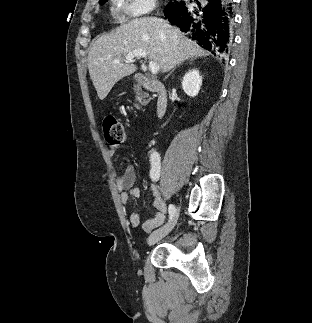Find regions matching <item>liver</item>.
<instances>
[{
  "mask_svg": "<svg viewBox=\"0 0 312 323\" xmlns=\"http://www.w3.org/2000/svg\"><path fill=\"white\" fill-rule=\"evenodd\" d=\"M134 50H144L160 72H170L177 64L198 56H209L207 50L185 38L179 28L161 18H137L122 24L112 34L100 36L88 54V70L99 100H104L114 84L134 74L133 62L125 56ZM114 60H121L113 64Z\"/></svg>",
  "mask_w": 312,
  "mask_h": 323,
  "instance_id": "6515ba94",
  "label": "liver"
}]
</instances>
